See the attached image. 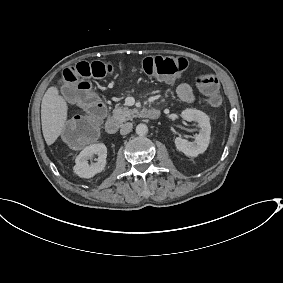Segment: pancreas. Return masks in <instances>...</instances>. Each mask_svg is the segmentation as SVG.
Wrapping results in <instances>:
<instances>
[{"mask_svg": "<svg viewBox=\"0 0 283 283\" xmlns=\"http://www.w3.org/2000/svg\"><path fill=\"white\" fill-rule=\"evenodd\" d=\"M139 112L136 108L129 109L128 107L116 106L113 110V118L117 120L119 123L126 122L128 120L137 117Z\"/></svg>", "mask_w": 283, "mask_h": 283, "instance_id": "pancreas-1", "label": "pancreas"}]
</instances>
